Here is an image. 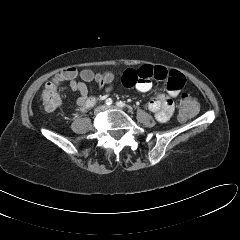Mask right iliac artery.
<instances>
[{"mask_svg": "<svg viewBox=\"0 0 240 240\" xmlns=\"http://www.w3.org/2000/svg\"><path fill=\"white\" fill-rule=\"evenodd\" d=\"M112 103H113V101H112L111 98H108V99L105 100V104L108 105V106L111 105Z\"/></svg>", "mask_w": 240, "mask_h": 240, "instance_id": "right-iliac-artery-1", "label": "right iliac artery"}]
</instances>
